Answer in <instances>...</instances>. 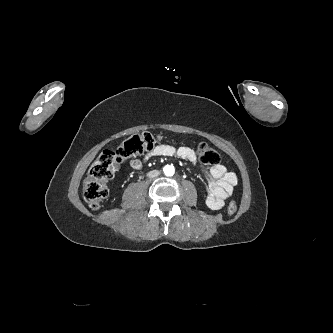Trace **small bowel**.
Returning a JSON list of instances; mask_svg holds the SVG:
<instances>
[{
    "mask_svg": "<svg viewBox=\"0 0 333 333\" xmlns=\"http://www.w3.org/2000/svg\"><path fill=\"white\" fill-rule=\"evenodd\" d=\"M178 157L190 162H196V154L190 147L171 145H158L152 151L147 153L143 159L134 158L130 161L133 169H140L143 164L151 157ZM208 194L206 196V205L211 210L223 208L225 200L228 199L238 183L237 175L228 171L222 164L213 165L207 172Z\"/></svg>",
    "mask_w": 333,
    "mask_h": 333,
    "instance_id": "c3829d8e",
    "label": "small bowel"
}]
</instances>
